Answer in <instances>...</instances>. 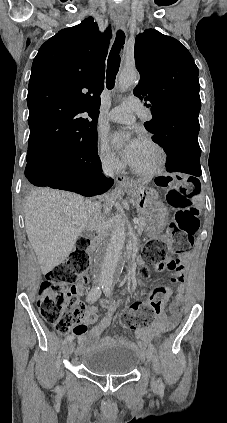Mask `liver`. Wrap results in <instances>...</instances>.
I'll return each instance as SVG.
<instances>
[{
    "instance_id": "1",
    "label": "liver",
    "mask_w": 227,
    "mask_h": 423,
    "mask_svg": "<svg viewBox=\"0 0 227 423\" xmlns=\"http://www.w3.org/2000/svg\"><path fill=\"white\" fill-rule=\"evenodd\" d=\"M135 184H140V180ZM115 196L116 192H112L98 196V200L111 204ZM87 202L92 200L50 188H34L29 192L23 206L25 229L42 273H48L66 259L79 235L88 227ZM100 215L98 223L106 229L101 210Z\"/></svg>"
}]
</instances>
